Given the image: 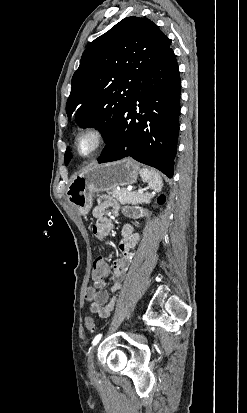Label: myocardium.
Instances as JSON below:
<instances>
[{
  "instance_id": "f54148a6",
  "label": "myocardium",
  "mask_w": 247,
  "mask_h": 413,
  "mask_svg": "<svg viewBox=\"0 0 247 413\" xmlns=\"http://www.w3.org/2000/svg\"><path fill=\"white\" fill-rule=\"evenodd\" d=\"M92 135L96 139L94 147L88 152L84 153L81 149V141L84 136ZM108 133L105 129L98 126H88L80 130L75 139V145L77 152L80 156L84 158L94 157L107 143Z\"/></svg>"
}]
</instances>
